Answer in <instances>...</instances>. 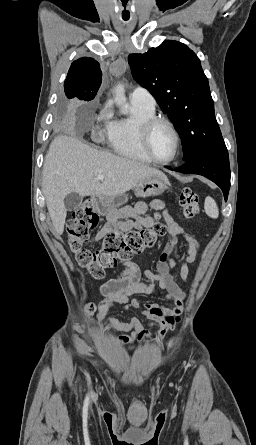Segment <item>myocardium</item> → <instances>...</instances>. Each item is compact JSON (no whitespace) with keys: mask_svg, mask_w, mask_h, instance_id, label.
Listing matches in <instances>:
<instances>
[{"mask_svg":"<svg viewBox=\"0 0 256 445\" xmlns=\"http://www.w3.org/2000/svg\"><path fill=\"white\" fill-rule=\"evenodd\" d=\"M159 124L166 125L171 130V132L173 133L174 138H175V143H176L175 152H174L173 156L167 160H162V159L157 158L155 156V154L153 153L152 146H151L152 132H153L154 128ZM139 135H140V141H141L142 148H143L144 152L146 153V155L150 158L151 161H153L157 164L167 165V164L174 162L178 158V156L180 154V150H181V137H180V134H179L177 128L169 119L164 118V117L155 116V117H152L150 119H147V120L141 122L139 125Z\"/></svg>","mask_w":256,"mask_h":445,"instance_id":"1","label":"myocardium"}]
</instances>
